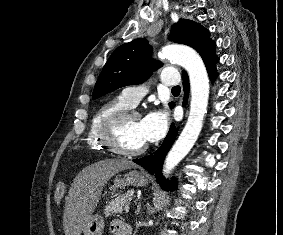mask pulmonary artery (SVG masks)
Here are the masks:
<instances>
[{
	"label": "pulmonary artery",
	"mask_w": 283,
	"mask_h": 235,
	"mask_svg": "<svg viewBox=\"0 0 283 235\" xmlns=\"http://www.w3.org/2000/svg\"><path fill=\"white\" fill-rule=\"evenodd\" d=\"M160 81L166 86H176L179 81V74L175 69H165L161 74ZM147 92L148 89L145 86H129L123 89L121 97L133 107L137 105Z\"/></svg>",
	"instance_id": "1"
}]
</instances>
